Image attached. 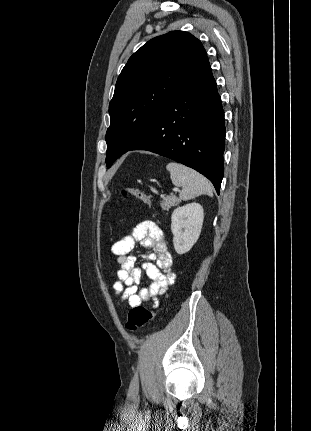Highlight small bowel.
Instances as JSON below:
<instances>
[{"label":"small bowel","mask_w":311,"mask_h":431,"mask_svg":"<svg viewBox=\"0 0 311 431\" xmlns=\"http://www.w3.org/2000/svg\"><path fill=\"white\" fill-rule=\"evenodd\" d=\"M137 243L152 249L146 256L149 262L143 265V269L136 267V257L131 254ZM112 253L117 257L120 266L116 273L115 292L132 308L148 300H153L157 306L158 298L167 291L175 279L172 272V257L160 226L152 220L141 221L131 233L114 243ZM143 270L151 279V283L147 288L139 289L138 284Z\"/></svg>","instance_id":"small-bowel-1"}]
</instances>
